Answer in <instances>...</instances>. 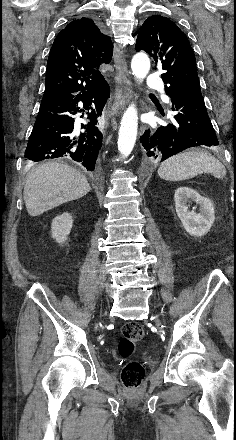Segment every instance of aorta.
I'll return each mask as SVG.
<instances>
[{
    "label": "aorta",
    "instance_id": "obj_1",
    "mask_svg": "<svg viewBox=\"0 0 236 440\" xmlns=\"http://www.w3.org/2000/svg\"><path fill=\"white\" fill-rule=\"evenodd\" d=\"M131 69L138 82H142L150 70V59L143 53H136L131 61ZM138 130V115L134 104H131L124 112L120 123L118 150L123 157H127L132 152Z\"/></svg>",
    "mask_w": 236,
    "mask_h": 440
}]
</instances>
